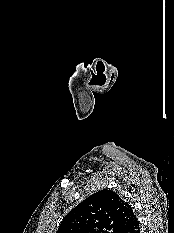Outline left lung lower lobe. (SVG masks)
<instances>
[{
	"label": "left lung lower lobe",
	"mask_w": 174,
	"mask_h": 233,
	"mask_svg": "<svg viewBox=\"0 0 174 233\" xmlns=\"http://www.w3.org/2000/svg\"><path fill=\"white\" fill-rule=\"evenodd\" d=\"M120 233H140V225L138 219L135 217L120 231Z\"/></svg>",
	"instance_id": "obj_1"
}]
</instances>
